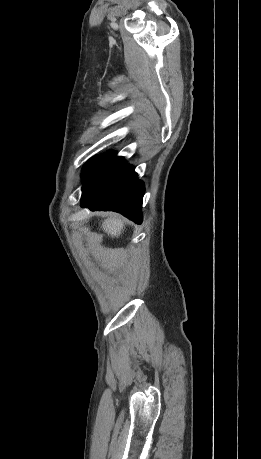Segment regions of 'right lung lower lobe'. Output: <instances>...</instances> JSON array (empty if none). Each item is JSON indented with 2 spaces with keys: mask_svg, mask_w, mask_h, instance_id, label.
Masks as SVG:
<instances>
[{
  "mask_svg": "<svg viewBox=\"0 0 261 459\" xmlns=\"http://www.w3.org/2000/svg\"><path fill=\"white\" fill-rule=\"evenodd\" d=\"M143 195V182L138 180L133 166L125 162L90 196L81 199V207H87L93 211H116L136 223H141Z\"/></svg>",
  "mask_w": 261,
  "mask_h": 459,
  "instance_id": "obj_1",
  "label": "right lung lower lobe"
}]
</instances>
